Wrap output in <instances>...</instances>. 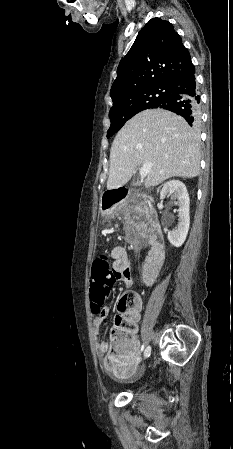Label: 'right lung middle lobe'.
Returning a JSON list of instances; mask_svg holds the SVG:
<instances>
[{
  "label": "right lung middle lobe",
  "instance_id": "dd1d6c3e",
  "mask_svg": "<svg viewBox=\"0 0 233 449\" xmlns=\"http://www.w3.org/2000/svg\"><path fill=\"white\" fill-rule=\"evenodd\" d=\"M169 95L168 84L151 85L113 99L107 138L114 135L131 117L145 109L157 107Z\"/></svg>",
  "mask_w": 233,
  "mask_h": 449
}]
</instances>
